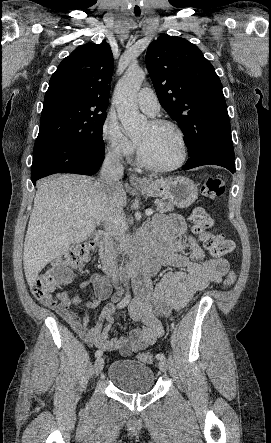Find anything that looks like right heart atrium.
I'll list each match as a JSON object with an SVG mask.
<instances>
[{"label":"right heart atrium","mask_w":271,"mask_h":443,"mask_svg":"<svg viewBox=\"0 0 271 443\" xmlns=\"http://www.w3.org/2000/svg\"><path fill=\"white\" fill-rule=\"evenodd\" d=\"M100 138L106 151L117 159H127L134 152V143L122 131L115 116L107 114L100 127Z\"/></svg>","instance_id":"1"}]
</instances>
